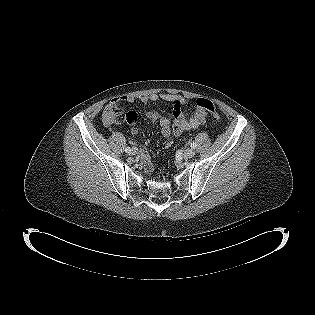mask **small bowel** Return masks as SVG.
<instances>
[{"mask_svg": "<svg viewBox=\"0 0 315 315\" xmlns=\"http://www.w3.org/2000/svg\"><path fill=\"white\" fill-rule=\"evenodd\" d=\"M138 101L141 104L148 102L166 101L173 104V119L170 120L166 117H162L159 112L155 110H148L146 112L147 118L152 122H158L160 125L161 134L164 137L170 135L179 136L184 131L195 129L206 122L207 113L206 110L197 106L191 115H187L183 108L188 106V100L180 95L172 93H152L149 95H143L139 97L123 96L117 100L112 101L107 105L104 110L103 117L106 124H109L107 119V112L112 104L116 101L134 102ZM135 132V131H134ZM171 143L168 142L166 147H170ZM140 161L144 166L147 173H151L154 165L148 154L144 151L140 153Z\"/></svg>", "mask_w": 315, "mask_h": 315, "instance_id": "1", "label": "small bowel"}]
</instances>
